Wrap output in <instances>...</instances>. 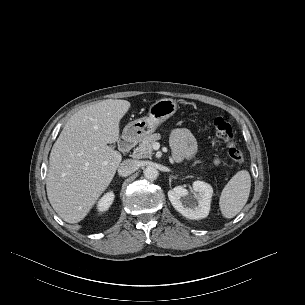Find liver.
<instances>
[{
  "label": "liver",
  "mask_w": 305,
  "mask_h": 305,
  "mask_svg": "<svg viewBox=\"0 0 305 305\" xmlns=\"http://www.w3.org/2000/svg\"><path fill=\"white\" fill-rule=\"evenodd\" d=\"M131 104L107 99L76 112L54 143L46 178L49 202L64 221L84 219L109 186L122 160L108 146L119 139V123Z\"/></svg>",
  "instance_id": "liver-1"
}]
</instances>
